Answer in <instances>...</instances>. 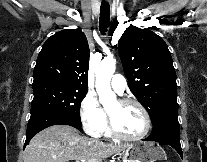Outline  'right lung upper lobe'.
<instances>
[{"label":"right lung upper lobe","instance_id":"right-lung-upper-lobe-1","mask_svg":"<svg viewBox=\"0 0 207 162\" xmlns=\"http://www.w3.org/2000/svg\"><path fill=\"white\" fill-rule=\"evenodd\" d=\"M89 46L79 29H66L43 44L34 68L33 88L59 85L87 90Z\"/></svg>","mask_w":207,"mask_h":162}]
</instances>
